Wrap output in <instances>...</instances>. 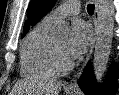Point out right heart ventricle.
Returning <instances> with one entry per match:
<instances>
[{
  "instance_id": "right-heart-ventricle-1",
  "label": "right heart ventricle",
  "mask_w": 119,
  "mask_h": 95,
  "mask_svg": "<svg viewBox=\"0 0 119 95\" xmlns=\"http://www.w3.org/2000/svg\"><path fill=\"white\" fill-rule=\"evenodd\" d=\"M52 23L53 20L46 16L29 33L21 53V73L24 77L47 79L55 74L54 39L50 35Z\"/></svg>"
}]
</instances>
